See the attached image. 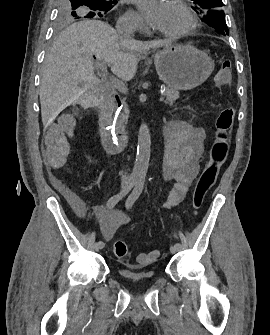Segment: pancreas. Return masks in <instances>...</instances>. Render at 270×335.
I'll list each match as a JSON object with an SVG mask.
<instances>
[{
	"label": "pancreas",
	"mask_w": 270,
	"mask_h": 335,
	"mask_svg": "<svg viewBox=\"0 0 270 335\" xmlns=\"http://www.w3.org/2000/svg\"><path fill=\"white\" fill-rule=\"evenodd\" d=\"M164 94L166 96L164 104H168V106H173L174 102H176L177 98H179L180 92H178V90H169V88H165ZM128 118H129L128 110H126L124 114H120L116 126V130L117 132H120V134H123V132H125L124 124H127Z\"/></svg>",
	"instance_id": "1"
}]
</instances>
